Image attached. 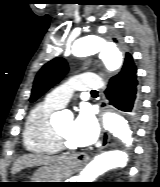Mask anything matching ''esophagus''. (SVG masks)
<instances>
[{
    "mask_svg": "<svg viewBox=\"0 0 160 187\" xmlns=\"http://www.w3.org/2000/svg\"><path fill=\"white\" fill-rule=\"evenodd\" d=\"M107 144H108V140L102 139V142L100 143L98 148L103 149L107 146ZM89 159L90 157L86 153H79L73 156V160L79 164H85L89 161Z\"/></svg>",
    "mask_w": 160,
    "mask_h": 187,
    "instance_id": "obj_1",
    "label": "esophagus"
}]
</instances>
